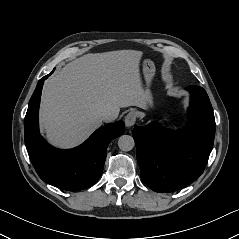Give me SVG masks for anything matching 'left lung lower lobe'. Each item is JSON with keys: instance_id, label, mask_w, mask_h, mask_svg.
<instances>
[{"instance_id": "obj_1", "label": "left lung lower lobe", "mask_w": 239, "mask_h": 239, "mask_svg": "<svg viewBox=\"0 0 239 239\" xmlns=\"http://www.w3.org/2000/svg\"><path fill=\"white\" fill-rule=\"evenodd\" d=\"M190 120L183 130L171 131L152 123L135 126L137 161L143 182L156 192L177 191L204 171L215 136V118L206 91L188 86Z\"/></svg>"}]
</instances>
